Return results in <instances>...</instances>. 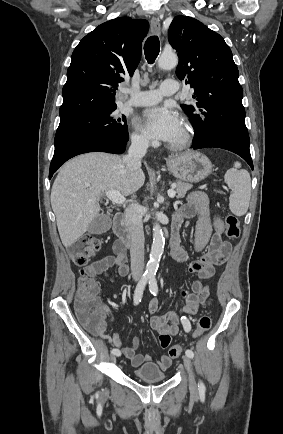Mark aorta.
<instances>
[{
    "mask_svg": "<svg viewBox=\"0 0 283 434\" xmlns=\"http://www.w3.org/2000/svg\"><path fill=\"white\" fill-rule=\"evenodd\" d=\"M178 64V57L175 54L163 53L159 60L158 66L161 69H172ZM165 238L161 226L158 223L153 225V244L150 251V259L146 266V274L153 277L159 267V262L164 251Z\"/></svg>",
    "mask_w": 283,
    "mask_h": 434,
    "instance_id": "aorta-1",
    "label": "aorta"
}]
</instances>
